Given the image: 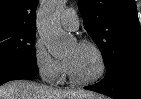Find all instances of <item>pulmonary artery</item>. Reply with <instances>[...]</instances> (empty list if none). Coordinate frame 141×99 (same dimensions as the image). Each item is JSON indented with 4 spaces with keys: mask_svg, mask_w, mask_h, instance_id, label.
Masks as SVG:
<instances>
[{
    "mask_svg": "<svg viewBox=\"0 0 141 99\" xmlns=\"http://www.w3.org/2000/svg\"><path fill=\"white\" fill-rule=\"evenodd\" d=\"M61 25L64 29L74 31L79 26V19L74 9L68 8L63 11L60 18Z\"/></svg>",
    "mask_w": 141,
    "mask_h": 99,
    "instance_id": "e3ab8cb5",
    "label": "pulmonary artery"
}]
</instances>
